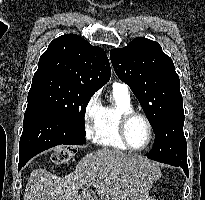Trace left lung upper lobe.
<instances>
[{"label": "left lung upper lobe", "mask_w": 205, "mask_h": 200, "mask_svg": "<svg viewBox=\"0 0 205 200\" xmlns=\"http://www.w3.org/2000/svg\"><path fill=\"white\" fill-rule=\"evenodd\" d=\"M117 76L133 91L154 133L164 118L183 108L180 80L172 59L152 40L137 37L124 48L110 51Z\"/></svg>", "instance_id": "1"}]
</instances>
